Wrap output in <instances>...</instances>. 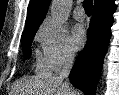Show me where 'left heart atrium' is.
Masks as SVG:
<instances>
[{
  "mask_svg": "<svg viewBox=\"0 0 119 95\" xmlns=\"http://www.w3.org/2000/svg\"><path fill=\"white\" fill-rule=\"evenodd\" d=\"M87 35L84 27L82 25H75L72 28L71 32V44L72 46L79 50L81 49L86 43Z\"/></svg>",
  "mask_w": 119,
  "mask_h": 95,
  "instance_id": "1",
  "label": "left heart atrium"
}]
</instances>
